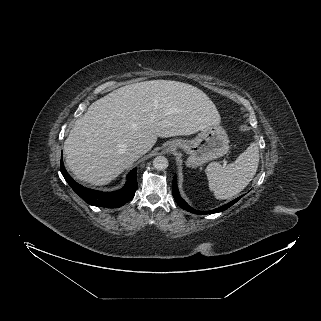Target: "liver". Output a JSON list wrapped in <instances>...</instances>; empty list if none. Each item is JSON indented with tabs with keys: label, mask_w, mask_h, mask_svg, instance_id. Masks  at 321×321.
Masks as SVG:
<instances>
[{
	"label": "liver",
	"mask_w": 321,
	"mask_h": 321,
	"mask_svg": "<svg viewBox=\"0 0 321 321\" xmlns=\"http://www.w3.org/2000/svg\"><path fill=\"white\" fill-rule=\"evenodd\" d=\"M220 123L211 99L190 84L151 80L118 88L93 102L64 142L66 163L78 180L105 185L140 155L133 148L158 137L191 135Z\"/></svg>",
	"instance_id": "obj_1"
}]
</instances>
